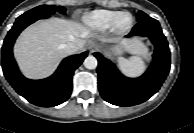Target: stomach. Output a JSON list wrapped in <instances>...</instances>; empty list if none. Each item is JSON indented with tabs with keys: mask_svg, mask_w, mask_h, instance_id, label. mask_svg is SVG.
Instances as JSON below:
<instances>
[{
	"mask_svg": "<svg viewBox=\"0 0 194 133\" xmlns=\"http://www.w3.org/2000/svg\"><path fill=\"white\" fill-rule=\"evenodd\" d=\"M124 49H125V48L123 47L122 44L113 46V47L111 48L112 53H113L114 55H120V54L124 51Z\"/></svg>",
	"mask_w": 194,
	"mask_h": 133,
	"instance_id": "0dacf381",
	"label": "stomach"
}]
</instances>
